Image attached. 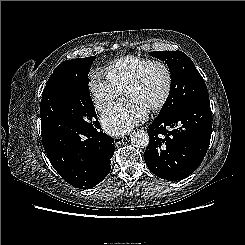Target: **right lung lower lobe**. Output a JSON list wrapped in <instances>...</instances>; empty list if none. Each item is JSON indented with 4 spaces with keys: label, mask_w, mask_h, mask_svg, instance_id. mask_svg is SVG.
Returning a JSON list of instances; mask_svg holds the SVG:
<instances>
[{
    "label": "right lung lower lobe",
    "mask_w": 245,
    "mask_h": 245,
    "mask_svg": "<svg viewBox=\"0 0 245 245\" xmlns=\"http://www.w3.org/2000/svg\"><path fill=\"white\" fill-rule=\"evenodd\" d=\"M41 129L49 161L72 186L90 189L110 172L114 140L101 131L98 120L86 128L69 125Z\"/></svg>",
    "instance_id": "obj_1"
}]
</instances>
